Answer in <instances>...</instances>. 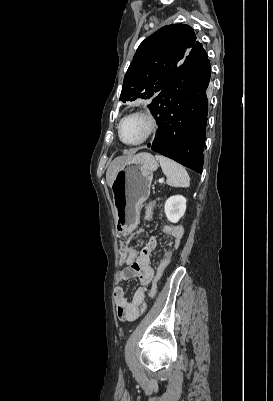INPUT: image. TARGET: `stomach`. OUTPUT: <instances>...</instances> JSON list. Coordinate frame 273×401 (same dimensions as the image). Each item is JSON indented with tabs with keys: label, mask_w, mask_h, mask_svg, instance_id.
Here are the masks:
<instances>
[{
	"label": "stomach",
	"mask_w": 273,
	"mask_h": 401,
	"mask_svg": "<svg viewBox=\"0 0 273 401\" xmlns=\"http://www.w3.org/2000/svg\"><path fill=\"white\" fill-rule=\"evenodd\" d=\"M159 164L150 152H140L118 170L111 186L117 235H130L140 221V209L150 194L154 170Z\"/></svg>",
	"instance_id": "0dacf381"
}]
</instances>
